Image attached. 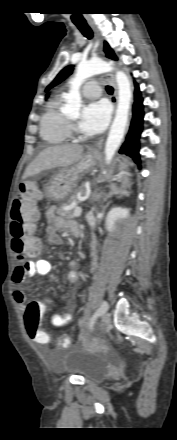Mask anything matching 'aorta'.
I'll list each match as a JSON object with an SVG mask.
<instances>
[{
	"label": "aorta",
	"instance_id": "aorta-1",
	"mask_svg": "<svg viewBox=\"0 0 177 440\" xmlns=\"http://www.w3.org/2000/svg\"><path fill=\"white\" fill-rule=\"evenodd\" d=\"M112 70V64L101 59L80 62L77 65L74 78L70 81V91L66 97L64 112L69 115H77L82 103L79 90L84 81L96 74ZM116 82L118 85V106L105 145L107 164L112 160L124 137L132 98L131 84L128 76L123 71H116Z\"/></svg>",
	"mask_w": 177,
	"mask_h": 440
}]
</instances>
